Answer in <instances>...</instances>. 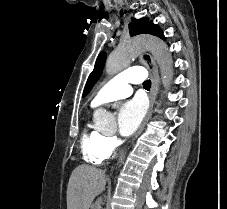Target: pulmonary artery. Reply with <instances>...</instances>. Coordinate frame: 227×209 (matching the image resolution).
<instances>
[{
  "instance_id": "1",
  "label": "pulmonary artery",
  "mask_w": 227,
  "mask_h": 209,
  "mask_svg": "<svg viewBox=\"0 0 227 209\" xmlns=\"http://www.w3.org/2000/svg\"><path fill=\"white\" fill-rule=\"evenodd\" d=\"M136 78V79H133ZM151 78V73H144V67L131 66L130 70H123L111 79L92 101L93 107H98L115 98H124L132 94L133 84L140 85L146 83Z\"/></svg>"
}]
</instances>
